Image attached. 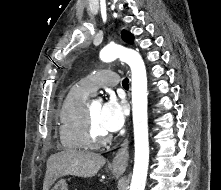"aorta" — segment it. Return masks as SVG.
I'll list each match as a JSON object with an SVG mask.
<instances>
[{
	"instance_id": "aorta-1",
	"label": "aorta",
	"mask_w": 221,
	"mask_h": 190,
	"mask_svg": "<svg viewBox=\"0 0 221 190\" xmlns=\"http://www.w3.org/2000/svg\"><path fill=\"white\" fill-rule=\"evenodd\" d=\"M118 58L130 66L132 74L135 158L130 190H144L149 165L146 67L138 52L121 45H108L100 52L103 62H111Z\"/></svg>"
}]
</instances>
